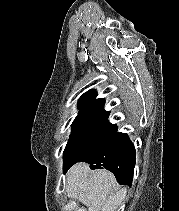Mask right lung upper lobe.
I'll return each instance as SVG.
<instances>
[{"mask_svg":"<svg viewBox=\"0 0 179 211\" xmlns=\"http://www.w3.org/2000/svg\"><path fill=\"white\" fill-rule=\"evenodd\" d=\"M96 92L90 90L86 92L79 100L78 108L80 113H89V112H106L104 110V99H96Z\"/></svg>","mask_w":179,"mask_h":211,"instance_id":"right-lung-upper-lobe-1","label":"right lung upper lobe"}]
</instances>
